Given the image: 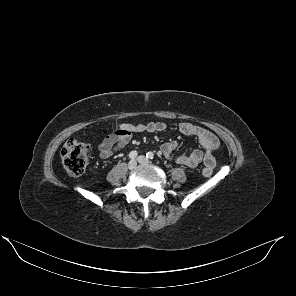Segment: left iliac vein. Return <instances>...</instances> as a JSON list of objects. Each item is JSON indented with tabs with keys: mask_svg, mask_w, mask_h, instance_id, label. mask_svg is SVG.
Returning <instances> with one entry per match:
<instances>
[{
	"mask_svg": "<svg viewBox=\"0 0 296 296\" xmlns=\"http://www.w3.org/2000/svg\"><path fill=\"white\" fill-rule=\"evenodd\" d=\"M137 160L141 164H149V160L145 156L141 155L137 158Z\"/></svg>",
	"mask_w": 296,
	"mask_h": 296,
	"instance_id": "obj_1",
	"label": "left iliac vein"
}]
</instances>
